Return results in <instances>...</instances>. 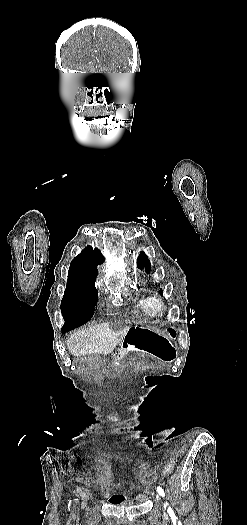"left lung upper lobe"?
I'll use <instances>...</instances> for the list:
<instances>
[{
  "mask_svg": "<svg viewBox=\"0 0 247 525\" xmlns=\"http://www.w3.org/2000/svg\"><path fill=\"white\" fill-rule=\"evenodd\" d=\"M137 265H138V268L143 269L145 267L146 271L150 272V269H151L150 260L144 252H141L139 254V257L137 259ZM160 293L163 295L162 289H160Z\"/></svg>",
  "mask_w": 247,
  "mask_h": 525,
  "instance_id": "1",
  "label": "left lung upper lobe"
}]
</instances>
